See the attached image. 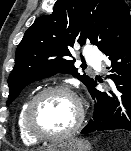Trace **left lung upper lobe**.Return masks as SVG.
Wrapping results in <instances>:
<instances>
[{
	"label": "left lung upper lobe",
	"mask_w": 131,
	"mask_h": 151,
	"mask_svg": "<svg viewBox=\"0 0 131 151\" xmlns=\"http://www.w3.org/2000/svg\"><path fill=\"white\" fill-rule=\"evenodd\" d=\"M130 36L124 0H57L53 13L38 17L17 47L7 105L26 85L58 72L74 75L89 88L94 80L80 75L68 59L73 45L90 41L105 53Z\"/></svg>",
	"instance_id": "left-lung-upper-lobe-1"
}]
</instances>
